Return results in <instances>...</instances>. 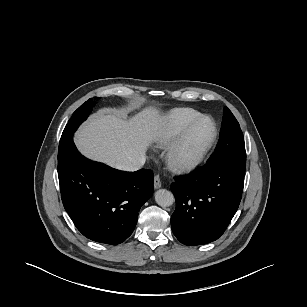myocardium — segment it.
<instances>
[{"mask_svg": "<svg viewBox=\"0 0 307 307\" xmlns=\"http://www.w3.org/2000/svg\"><path fill=\"white\" fill-rule=\"evenodd\" d=\"M209 120L212 122L214 126V133L211 141L205 147V149L194 159L189 161H180L177 156L178 153L186 141L188 135L192 131V129L202 120ZM219 135V128L216 121L209 115H200L197 118L193 119L190 123H188L185 128L181 131V133L177 136V138L171 143L167 154H166V162L168 167L179 173L189 172L197 168L199 165L203 163L206 159L212 148L214 147Z\"/></svg>", "mask_w": 307, "mask_h": 307, "instance_id": "f54148a6", "label": "myocardium"}]
</instances>
